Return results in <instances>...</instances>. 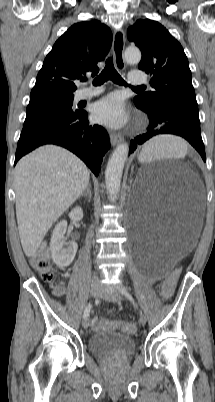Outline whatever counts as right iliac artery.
Here are the masks:
<instances>
[{"instance_id":"82829eb1","label":"right iliac artery","mask_w":215,"mask_h":402,"mask_svg":"<svg viewBox=\"0 0 215 402\" xmlns=\"http://www.w3.org/2000/svg\"><path fill=\"white\" fill-rule=\"evenodd\" d=\"M91 308H92V304L89 303V304L86 306L85 310H84V314H83V318H84V319H86V318L89 317V313H90Z\"/></svg>"}]
</instances>
